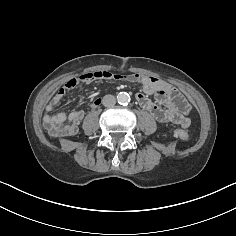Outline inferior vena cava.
Returning <instances> with one entry per match:
<instances>
[{"label": "inferior vena cava", "instance_id": "1", "mask_svg": "<svg viewBox=\"0 0 236 236\" xmlns=\"http://www.w3.org/2000/svg\"><path fill=\"white\" fill-rule=\"evenodd\" d=\"M102 103L105 107H112L116 104V99L113 95H105L103 97Z\"/></svg>", "mask_w": 236, "mask_h": 236}]
</instances>
